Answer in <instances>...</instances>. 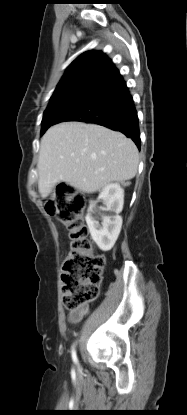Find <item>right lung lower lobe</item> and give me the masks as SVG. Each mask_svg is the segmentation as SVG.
I'll use <instances>...</instances> for the list:
<instances>
[{"mask_svg":"<svg viewBox=\"0 0 187 415\" xmlns=\"http://www.w3.org/2000/svg\"><path fill=\"white\" fill-rule=\"evenodd\" d=\"M90 122L120 131L140 149L138 116L122 75L112 62L79 80L50 115L51 125Z\"/></svg>","mask_w":187,"mask_h":415,"instance_id":"obj_1","label":"right lung lower lobe"}]
</instances>
